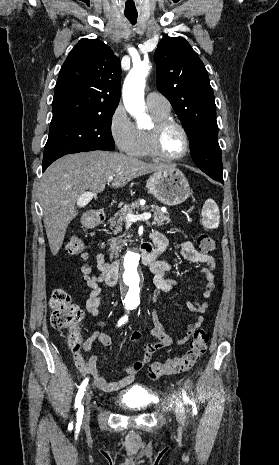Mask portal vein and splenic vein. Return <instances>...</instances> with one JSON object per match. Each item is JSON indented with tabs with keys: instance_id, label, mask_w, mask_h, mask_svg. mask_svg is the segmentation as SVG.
Returning <instances> with one entry per match:
<instances>
[{
	"instance_id": "obj_1",
	"label": "portal vein and splenic vein",
	"mask_w": 279,
	"mask_h": 465,
	"mask_svg": "<svg viewBox=\"0 0 279 465\" xmlns=\"http://www.w3.org/2000/svg\"><path fill=\"white\" fill-rule=\"evenodd\" d=\"M113 180V176L108 177V182H111ZM87 197H93V194L91 192H85L82 194L80 200L85 201ZM151 218V213H143L141 215H134L132 213H128L126 215V220L129 222H137V221H147Z\"/></svg>"
}]
</instances>
